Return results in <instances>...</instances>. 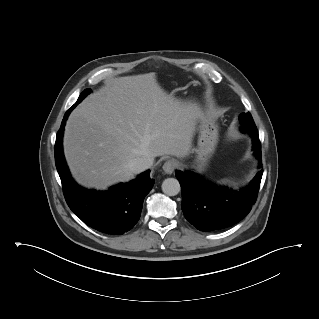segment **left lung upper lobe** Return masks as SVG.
I'll list each match as a JSON object with an SVG mask.
<instances>
[{
  "label": "left lung upper lobe",
  "instance_id": "1",
  "mask_svg": "<svg viewBox=\"0 0 319 319\" xmlns=\"http://www.w3.org/2000/svg\"><path fill=\"white\" fill-rule=\"evenodd\" d=\"M239 120H240L242 126L256 127L255 123L253 121V118H252L250 113H242V114H240Z\"/></svg>",
  "mask_w": 319,
  "mask_h": 319
}]
</instances>
